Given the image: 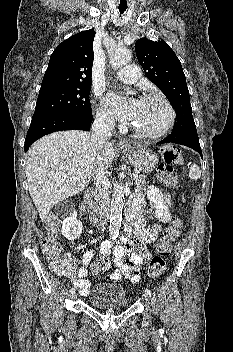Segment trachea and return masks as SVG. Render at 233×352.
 Wrapping results in <instances>:
<instances>
[{"label":"trachea","instance_id":"trachea-1","mask_svg":"<svg viewBox=\"0 0 233 352\" xmlns=\"http://www.w3.org/2000/svg\"><path fill=\"white\" fill-rule=\"evenodd\" d=\"M126 7H119V12L121 13V14H123L125 11H126Z\"/></svg>","mask_w":233,"mask_h":352}]
</instances>
